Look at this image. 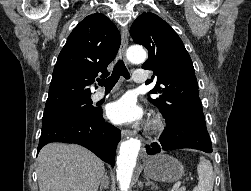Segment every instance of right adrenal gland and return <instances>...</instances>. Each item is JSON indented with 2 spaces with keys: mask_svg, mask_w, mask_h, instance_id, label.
Returning a JSON list of instances; mask_svg holds the SVG:
<instances>
[{
  "mask_svg": "<svg viewBox=\"0 0 251 191\" xmlns=\"http://www.w3.org/2000/svg\"><path fill=\"white\" fill-rule=\"evenodd\" d=\"M108 185H109V177L107 175V171H104V175L100 181L99 191H102V189H107Z\"/></svg>",
  "mask_w": 251,
  "mask_h": 191,
  "instance_id": "2a0ac1e0",
  "label": "right adrenal gland"
}]
</instances>
